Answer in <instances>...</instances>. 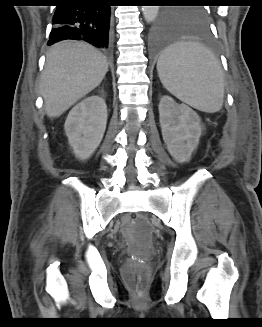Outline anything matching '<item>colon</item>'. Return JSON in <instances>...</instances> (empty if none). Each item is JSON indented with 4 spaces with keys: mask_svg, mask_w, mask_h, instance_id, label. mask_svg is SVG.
Returning a JSON list of instances; mask_svg holds the SVG:
<instances>
[{
    "mask_svg": "<svg viewBox=\"0 0 262 327\" xmlns=\"http://www.w3.org/2000/svg\"><path fill=\"white\" fill-rule=\"evenodd\" d=\"M125 232L131 242L139 246H147L151 238L152 230L149 222L144 217H132L125 224ZM132 290L138 298H142L145 292V270L139 266L136 269L126 271Z\"/></svg>",
    "mask_w": 262,
    "mask_h": 327,
    "instance_id": "colon-1",
    "label": "colon"
}]
</instances>
